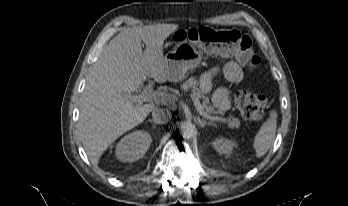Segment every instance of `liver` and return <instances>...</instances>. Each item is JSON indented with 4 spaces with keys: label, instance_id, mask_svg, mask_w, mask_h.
Wrapping results in <instances>:
<instances>
[{
    "label": "liver",
    "instance_id": "obj_1",
    "mask_svg": "<svg viewBox=\"0 0 348 206\" xmlns=\"http://www.w3.org/2000/svg\"><path fill=\"white\" fill-rule=\"evenodd\" d=\"M177 28V24L128 28L110 41L93 64L78 121L83 147L93 165L118 137L142 123L155 109L152 102L134 104L125 96L147 77L159 83L171 81L164 67L163 43Z\"/></svg>",
    "mask_w": 348,
    "mask_h": 206
}]
</instances>
